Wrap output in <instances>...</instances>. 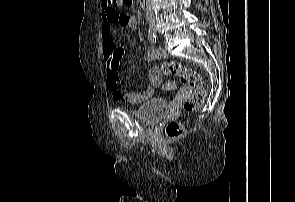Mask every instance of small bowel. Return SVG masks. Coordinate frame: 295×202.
Listing matches in <instances>:
<instances>
[{
    "instance_id": "obj_1",
    "label": "small bowel",
    "mask_w": 295,
    "mask_h": 202,
    "mask_svg": "<svg viewBox=\"0 0 295 202\" xmlns=\"http://www.w3.org/2000/svg\"><path fill=\"white\" fill-rule=\"evenodd\" d=\"M102 24H101V38L103 45V58L105 61L106 82L107 87L117 100H124L132 104L141 103L152 98L156 89L161 85L162 74L155 75V71H150V86L143 91L134 92L123 89L119 78V62L125 52L126 46L124 43L116 45L112 38L111 32L114 25H121V14L116 8L109 4L107 0L101 3ZM128 17V27L134 30L137 26V17L133 14L126 15ZM163 55V52L151 47L146 54L148 61L155 60ZM184 98H190L189 85H180L179 98H174L171 102V107H181L184 103Z\"/></svg>"
}]
</instances>
